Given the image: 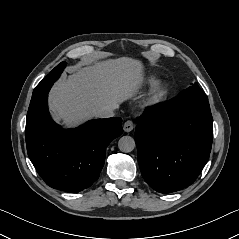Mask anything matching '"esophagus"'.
I'll return each instance as SVG.
<instances>
[{"label": "esophagus", "instance_id": "esophagus-1", "mask_svg": "<svg viewBox=\"0 0 239 239\" xmlns=\"http://www.w3.org/2000/svg\"><path fill=\"white\" fill-rule=\"evenodd\" d=\"M134 128V124L131 120H127L123 125V130L125 132H131Z\"/></svg>", "mask_w": 239, "mask_h": 239}]
</instances>
